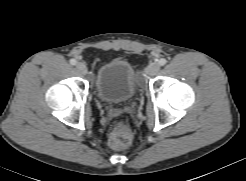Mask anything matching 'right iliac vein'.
I'll list each match as a JSON object with an SVG mask.
<instances>
[{
	"mask_svg": "<svg viewBox=\"0 0 246 181\" xmlns=\"http://www.w3.org/2000/svg\"><path fill=\"white\" fill-rule=\"evenodd\" d=\"M76 68L77 70L81 73V74H86L87 73V67L84 63L79 62L76 64Z\"/></svg>",
	"mask_w": 246,
	"mask_h": 181,
	"instance_id": "right-iliac-vein-1",
	"label": "right iliac vein"
}]
</instances>
